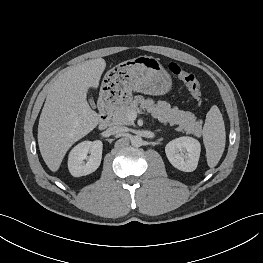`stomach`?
Returning <instances> with one entry per match:
<instances>
[{"mask_svg": "<svg viewBox=\"0 0 263 263\" xmlns=\"http://www.w3.org/2000/svg\"><path fill=\"white\" fill-rule=\"evenodd\" d=\"M171 86V76L159 59L139 56L118 64L105 74L101 95L115 99L120 105H127L131 100L132 91L163 95Z\"/></svg>", "mask_w": 263, "mask_h": 263, "instance_id": "obj_1", "label": "stomach"}]
</instances>
